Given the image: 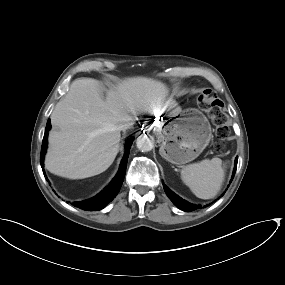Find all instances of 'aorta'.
Wrapping results in <instances>:
<instances>
[{
	"mask_svg": "<svg viewBox=\"0 0 285 285\" xmlns=\"http://www.w3.org/2000/svg\"><path fill=\"white\" fill-rule=\"evenodd\" d=\"M137 148L142 152L151 151L154 147L153 139L145 134L140 135L136 140Z\"/></svg>",
	"mask_w": 285,
	"mask_h": 285,
	"instance_id": "1",
	"label": "aorta"
}]
</instances>
